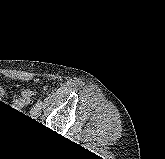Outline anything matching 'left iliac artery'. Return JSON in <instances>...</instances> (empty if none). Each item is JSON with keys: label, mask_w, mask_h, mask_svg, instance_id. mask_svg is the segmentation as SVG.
<instances>
[{"label": "left iliac artery", "mask_w": 165, "mask_h": 159, "mask_svg": "<svg viewBox=\"0 0 165 159\" xmlns=\"http://www.w3.org/2000/svg\"><path fill=\"white\" fill-rule=\"evenodd\" d=\"M38 104H39V105H42V100H39V101H38Z\"/></svg>", "instance_id": "left-iliac-artery-1"}]
</instances>
